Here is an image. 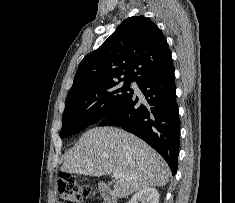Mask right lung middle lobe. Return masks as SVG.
Listing matches in <instances>:
<instances>
[{"instance_id":"1","label":"right lung middle lobe","mask_w":235,"mask_h":203,"mask_svg":"<svg viewBox=\"0 0 235 203\" xmlns=\"http://www.w3.org/2000/svg\"><path fill=\"white\" fill-rule=\"evenodd\" d=\"M131 82L125 79L101 82L69 93L60 137L78 133L118 109L133 95Z\"/></svg>"}]
</instances>
